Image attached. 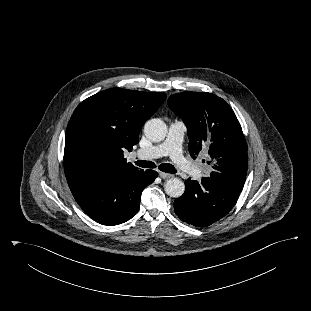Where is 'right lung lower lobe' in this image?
<instances>
[{"label": "right lung lower lobe", "instance_id": "98d812e1", "mask_svg": "<svg viewBox=\"0 0 311 311\" xmlns=\"http://www.w3.org/2000/svg\"><path fill=\"white\" fill-rule=\"evenodd\" d=\"M157 177L153 170L122 173L98 169L67 178L70 190L84 212L103 225H118L138 211L142 190Z\"/></svg>", "mask_w": 311, "mask_h": 311}]
</instances>
